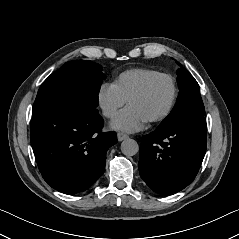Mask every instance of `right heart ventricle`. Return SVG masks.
Listing matches in <instances>:
<instances>
[{"label":"right heart ventricle","mask_w":239,"mask_h":239,"mask_svg":"<svg viewBox=\"0 0 239 239\" xmlns=\"http://www.w3.org/2000/svg\"><path fill=\"white\" fill-rule=\"evenodd\" d=\"M158 73V71L147 68H132L119 74L114 85L120 95L127 100L146 80Z\"/></svg>","instance_id":"obj_1"}]
</instances>
